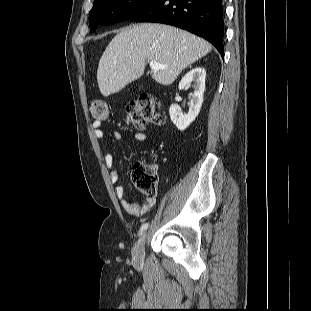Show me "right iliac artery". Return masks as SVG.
<instances>
[{
  "label": "right iliac artery",
  "instance_id": "right-iliac-artery-1",
  "mask_svg": "<svg viewBox=\"0 0 311 311\" xmlns=\"http://www.w3.org/2000/svg\"><path fill=\"white\" fill-rule=\"evenodd\" d=\"M148 226H149L148 223L142 224L140 231H139V234H142L145 230H147Z\"/></svg>",
  "mask_w": 311,
  "mask_h": 311
}]
</instances>
